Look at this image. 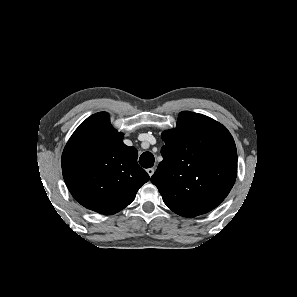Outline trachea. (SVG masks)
I'll use <instances>...</instances> for the list:
<instances>
[{
    "mask_svg": "<svg viewBox=\"0 0 297 297\" xmlns=\"http://www.w3.org/2000/svg\"><path fill=\"white\" fill-rule=\"evenodd\" d=\"M154 161V156L150 152H144L139 158V163L143 168H151L154 165Z\"/></svg>",
    "mask_w": 297,
    "mask_h": 297,
    "instance_id": "1",
    "label": "trachea"
}]
</instances>
